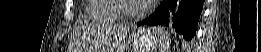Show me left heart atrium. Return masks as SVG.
Listing matches in <instances>:
<instances>
[{
	"label": "left heart atrium",
	"instance_id": "left-heart-atrium-1",
	"mask_svg": "<svg viewBox=\"0 0 261 52\" xmlns=\"http://www.w3.org/2000/svg\"><path fill=\"white\" fill-rule=\"evenodd\" d=\"M137 2L139 3V4H142L143 6H148V5H150V4H155L156 3V1L155 0H137Z\"/></svg>",
	"mask_w": 261,
	"mask_h": 52
}]
</instances>
